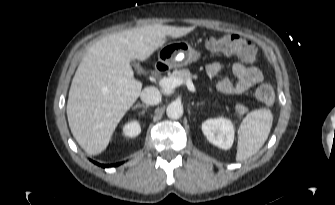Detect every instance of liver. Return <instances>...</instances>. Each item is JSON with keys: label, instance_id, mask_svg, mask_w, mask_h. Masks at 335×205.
I'll use <instances>...</instances> for the list:
<instances>
[{"label": "liver", "instance_id": "6515ba94", "mask_svg": "<svg viewBox=\"0 0 335 205\" xmlns=\"http://www.w3.org/2000/svg\"><path fill=\"white\" fill-rule=\"evenodd\" d=\"M194 27L160 24L133 28L108 35L94 43L73 77L67 101L71 132L89 155L108 146L112 134L141 94L142 83L134 78L133 60H147L165 43Z\"/></svg>", "mask_w": 335, "mask_h": 205}]
</instances>
